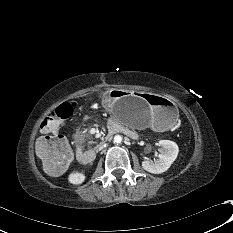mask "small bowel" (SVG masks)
<instances>
[{"label": "small bowel", "mask_w": 233, "mask_h": 233, "mask_svg": "<svg viewBox=\"0 0 233 233\" xmlns=\"http://www.w3.org/2000/svg\"><path fill=\"white\" fill-rule=\"evenodd\" d=\"M89 118H90V116L87 115V114L83 116V119H84L85 121L89 120Z\"/></svg>", "instance_id": "small-bowel-1"}]
</instances>
